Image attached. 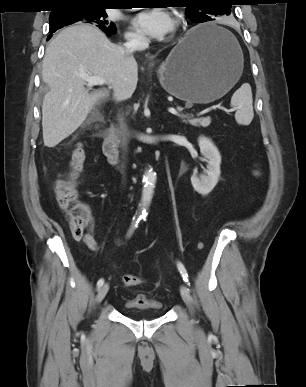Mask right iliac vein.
Here are the masks:
<instances>
[{"label": "right iliac vein", "mask_w": 306, "mask_h": 387, "mask_svg": "<svg viewBox=\"0 0 306 387\" xmlns=\"http://www.w3.org/2000/svg\"><path fill=\"white\" fill-rule=\"evenodd\" d=\"M108 290H109V285L107 283L102 285L98 289V293H97V296H96V302L97 303H100L104 299V297L108 293Z\"/></svg>", "instance_id": "63e3f726"}]
</instances>
